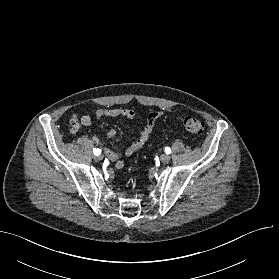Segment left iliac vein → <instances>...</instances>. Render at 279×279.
<instances>
[{
  "label": "left iliac vein",
  "mask_w": 279,
  "mask_h": 279,
  "mask_svg": "<svg viewBox=\"0 0 279 279\" xmlns=\"http://www.w3.org/2000/svg\"><path fill=\"white\" fill-rule=\"evenodd\" d=\"M160 160H161V162H163V163H168V162L170 161V156L167 155V154H162V155L160 156Z\"/></svg>",
  "instance_id": "left-iliac-vein-1"
}]
</instances>
